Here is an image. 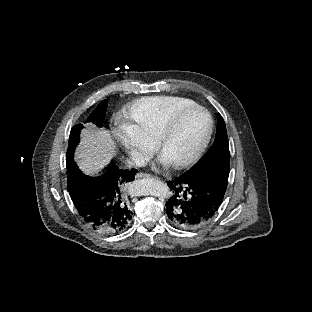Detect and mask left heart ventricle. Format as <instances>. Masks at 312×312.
I'll list each match as a JSON object with an SVG mask.
<instances>
[{"label":"left heart ventricle","instance_id":"obj_1","mask_svg":"<svg viewBox=\"0 0 312 312\" xmlns=\"http://www.w3.org/2000/svg\"><path fill=\"white\" fill-rule=\"evenodd\" d=\"M206 116L199 111L186 113L165 141V154L172 159L182 158L187 148L200 147L206 137Z\"/></svg>","mask_w":312,"mask_h":312}]
</instances>
